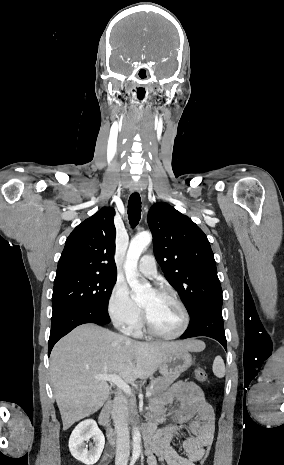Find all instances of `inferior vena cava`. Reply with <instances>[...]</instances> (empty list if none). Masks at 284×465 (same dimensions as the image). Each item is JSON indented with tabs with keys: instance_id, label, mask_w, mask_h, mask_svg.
I'll list each match as a JSON object with an SVG mask.
<instances>
[{
	"instance_id": "1",
	"label": "inferior vena cava",
	"mask_w": 284,
	"mask_h": 465,
	"mask_svg": "<svg viewBox=\"0 0 284 465\" xmlns=\"http://www.w3.org/2000/svg\"><path fill=\"white\" fill-rule=\"evenodd\" d=\"M111 415L117 433L115 465H127L130 455L129 413L127 403L121 393H117L114 397Z\"/></svg>"
}]
</instances>
